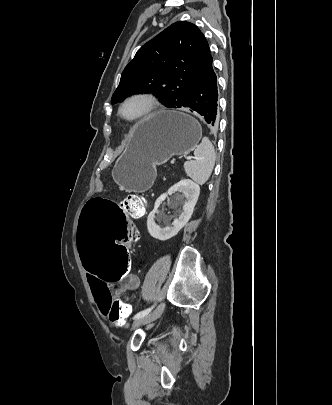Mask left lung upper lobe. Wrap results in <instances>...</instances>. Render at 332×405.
Here are the masks:
<instances>
[{"mask_svg":"<svg viewBox=\"0 0 332 405\" xmlns=\"http://www.w3.org/2000/svg\"><path fill=\"white\" fill-rule=\"evenodd\" d=\"M211 57L198 27L179 21L144 44L125 67L111 103L135 93L151 92L169 108L186 105L193 82Z\"/></svg>","mask_w":332,"mask_h":405,"instance_id":"5c2ea615","label":"left lung upper lobe"}]
</instances>
